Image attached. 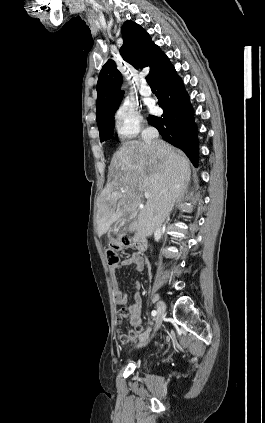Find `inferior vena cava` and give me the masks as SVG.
I'll return each instance as SVG.
<instances>
[{"label":"inferior vena cava","instance_id":"602c4592","mask_svg":"<svg viewBox=\"0 0 265 423\" xmlns=\"http://www.w3.org/2000/svg\"><path fill=\"white\" fill-rule=\"evenodd\" d=\"M141 136L144 143L152 145L158 142L159 133L156 128L149 126L142 130Z\"/></svg>","mask_w":265,"mask_h":423}]
</instances>
